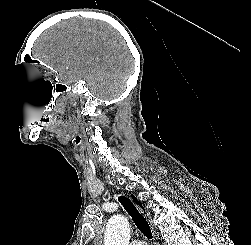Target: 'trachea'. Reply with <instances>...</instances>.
<instances>
[{
	"instance_id": "1",
	"label": "trachea",
	"mask_w": 251,
	"mask_h": 245,
	"mask_svg": "<svg viewBox=\"0 0 251 245\" xmlns=\"http://www.w3.org/2000/svg\"><path fill=\"white\" fill-rule=\"evenodd\" d=\"M119 201L123 205L124 209L129 213L132 217L137 228L146 236L148 239L152 238V233L150 226L144 216L137 210L135 205L125 196L119 197Z\"/></svg>"
}]
</instances>
